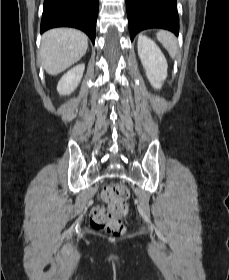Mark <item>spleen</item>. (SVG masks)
I'll return each mask as SVG.
<instances>
[{
    "label": "spleen",
    "instance_id": "obj_1",
    "mask_svg": "<svg viewBox=\"0 0 229 280\" xmlns=\"http://www.w3.org/2000/svg\"><path fill=\"white\" fill-rule=\"evenodd\" d=\"M157 39L162 43L172 58L176 57L178 50V43L176 37L168 31H159Z\"/></svg>",
    "mask_w": 229,
    "mask_h": 280
}]
</instances>
